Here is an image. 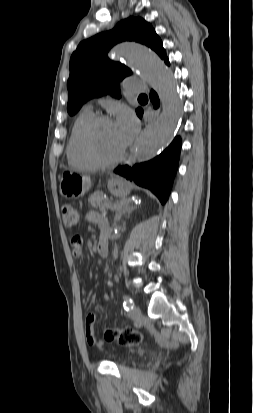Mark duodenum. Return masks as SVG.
<instances>
[{"mask_svg":"<svg viewBox=\"0 0 253 413\" xmlns=\"http://www.w3.org/2000/svg\"><path fill=\"white\" fill-rule=\"evenodd\" d=\"M109 241L106 232H103L96 246L97 252L100 256L104 257L108 253Z\"/></svg>","mask_w":253,"mask_h":413,"instance_id":"410a0bca","label":"duodenum"}]
</instances>
